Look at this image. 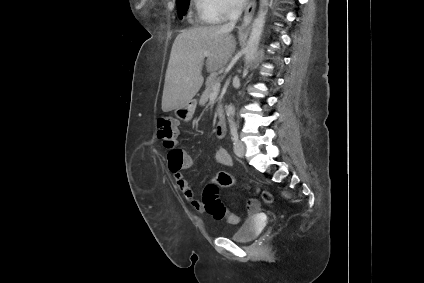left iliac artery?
<instances>
[{"label":"left iliac artery","instance_id":"obj_1","mask_svg":"<svg viewBox=\"0 0 424 283\" xmlns=\"http://www.w3.org/2000/svg\"><path fill=\"white\" fill-rule=\"evenodd\" d=\"M230 132H231V139L234 142V144H236V142L238 141V133H237L236 125H231Z\"/></svg>","mask_w":424,"mask_h":283}]
</instances>
